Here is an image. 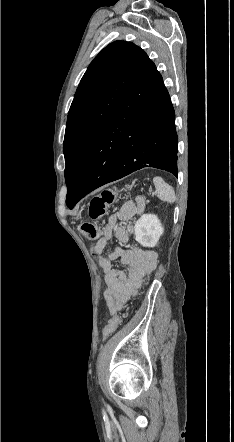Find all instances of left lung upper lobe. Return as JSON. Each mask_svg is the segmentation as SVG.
<instances>
[{"mask_svg": "<svg viewBox=\"0 0 234 442\" xmlns=\"http://www.w3.org/2000/svg\"><path fill=\"white\" fill-rule=\"evenodd\" d=\"M149 62L140 47L131 42L115 41L88 66L66 124L63 148L67 199L76 190L94 139Z\"/></svg>", "mask_w": 234, "mask_h": 442, "instance_id": "1", "label": "left lung upper lobe"}]
</instances>
